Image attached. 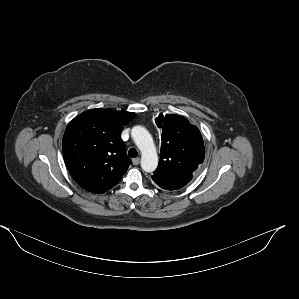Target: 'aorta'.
Returning <instances> with one entry per match:
<instances>
[{
	"label": "aorta",
	"mask_w": 299,
	"mask_h": 299,
	"mask_svg": "<svg viewBox=\"0 0 299 299\" xmlns=\"http://www.w3.org/2000/svg\"><path fill=\"white\" fill-rule=\"evenodd\" d=\"M136 146L141 151V167L146 172H153L158 165V155L151 134L143 126H134L131 131Z\"/></svg>",
	"instance_id": "762f6f07"
}]
</instances>
